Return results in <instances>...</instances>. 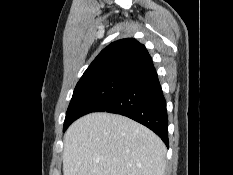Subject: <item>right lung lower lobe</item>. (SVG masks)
Returning <instances> with one entry per match:
<instances>
[{
  "instance_id": "1",
  "label": "right lung lower lobe",
  "mask_w": 233,
  "mask_h": 175,
  "mask_svg": "<svg viewBox=\"0 0 233 175\" xmlns=\"http://www.w3.org/2000/svg\"><path fill=\"white\" fill-rule=\"evenodd\" d=\"M94 112L127 116L155 132L168 147L166 101L155 68L132 79L117 95Z\"/></svg>"
}]
</instances>
